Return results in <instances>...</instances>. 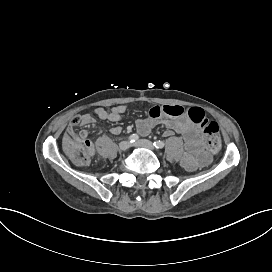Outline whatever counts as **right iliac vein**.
<instances>
[{"mask_svg": "<svg viewBox=\"0 0 272 272\" xmlns=\"http://www.w3.org/2000/svg\"><path fill=\"white\" fill-rule=\"evenodd\" d=\"M131 144L129 141H122L120 144H119V149L121 151H126L130 148Z\"/></svg>", "mask_w": 272, "mask_h": 272, "instance_id": "63e3f726", "label": "right iliac vein"}]
</instances>
